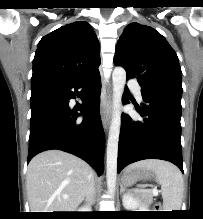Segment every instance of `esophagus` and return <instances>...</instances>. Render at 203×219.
<instances>
[{"label": "esophagus", "mask_w": 203, "mask_h": 219, "mask_svg": "<svg viewBox=\"0 0 203 219\" xmlns=\"http://www.w3.org/2000/svg\"><path fill=\"white\" fill-rule=\"evenodd\" d=\"M112 96L111 91L105 93L101 98V119L104 128L108 129L111 120Z\"/></svg>", "instance_id": "esophagus-1"}]
</instances>
